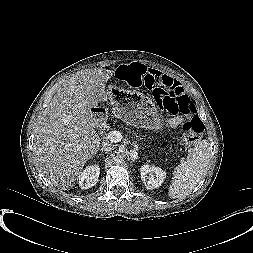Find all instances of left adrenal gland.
<instances>
[{
    "label": "left adrenal gland",
    "instance_id": "a2214340",
    "mask_svg": "<svg viewBox=\"0 0 253 253\" xmlns=\"http://www.w3.org/2000/svg\"><path fill=\"white\" fill-rule=\"evenodd\" d=\"M131 160H132V161H135L136 159H135L134 157L131 156Z\"/></svg>",
    "mask_w": 253,
    "mask_h": 253
}]
</instances>
